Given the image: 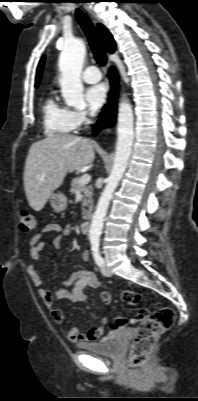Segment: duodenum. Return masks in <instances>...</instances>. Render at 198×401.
<instances>
[{
    "mask_svg": "<svg viewBox=\"0 0 198 401\" xmlns=\"http://www.w3.org/2000/svg\"><path fill=\"white\" fill-rule=\"evenodd\" d=\"M90 227L89 220H85L80 224V230L82 233H88Z\"/></svg>",
    "mask_w": 198,
    "mask_h": 401,
    "instance_id": "obj_1",
    "label": "duodenum"
}]
</instances>
